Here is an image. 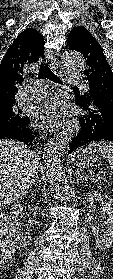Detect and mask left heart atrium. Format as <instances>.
<instances>
[{
  "mask_svg": "<svg viewBox=\"0 0 113 279\" xmlns=\"http://www.w3.org/2000/svg\"><path fill=\"white\" fill-rule=\"evenodd\" d=\"M65 114V104L56 97H44L34 110L37 124L48 128L59 125Z\"/></svg>",
  "mask_w": 113,
  "mask_h": 279,
  "instance_id": "obj_1",
  "label": "left heart atrium"
}]
</instances>
